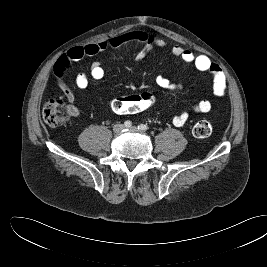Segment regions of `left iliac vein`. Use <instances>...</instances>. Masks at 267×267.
I'll return each mask as SVG.
<instances>
[{"label":"left iliac vein","mask_w":267,"mask_h":267,"mask_svg":"<svg viewBox=\"0 0 267 267\" xmlns=\"http://www.w3.org/2000/svg\"><path fill=\"white\" fill-rule=\"evenodd\" d=\"M130 130L133 131V132H139V133H141V134H146L145 131H141V130H139V129H138L137 127H135V126L131 127Z\"/></svg>","instance_id":"left-iliac-vein-1"}]
</instances>
